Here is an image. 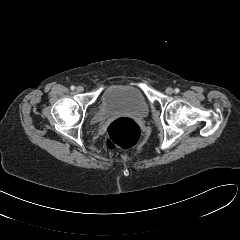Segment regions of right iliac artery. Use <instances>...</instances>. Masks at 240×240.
Instances as JSON below:
<instances>
[{
  "label": "right iliac artery",
  "mask_w": 240,
  "mask_h": 240,
  "mask_svg": "<svg viewBox=\"0 0 240 240\" xmlns=\"http://www.w3.org/2000/svg\"><path fill=\"white\" fill-rule=\"evenodd\" d=\"M75 89V86H71V90H74Z\"/></svg>",
  "instance_id": "82829eb1"
}]
</instances>
